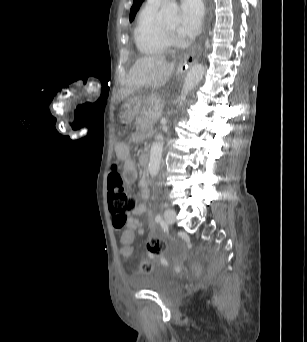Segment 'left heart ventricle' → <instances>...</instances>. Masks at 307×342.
Wrapping results in <instances>:
<instances>
[{
	"instance_id": "left-heart-ventricle-1",
	"label": "left heart ventricle",
	"mask_w": 307,
	"mask_h": 342,
	"mask_svg": "<svg viewBox=\"0 0 307 342\" xmlns=\"http://www.w3.org/2000/svg\"><path fill=\"white\" fill-rule=\"evenodd\" d=\"M161 29L166 37L172 40L175 44H178L176 37H175V32H176L175 25H164V26H161Z\"/></svg>"
}]
</instances>
